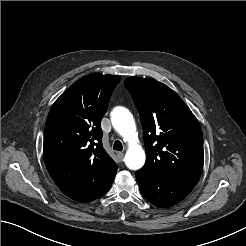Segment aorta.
I'll use <instances>...</instances> for the list:
<instances>
[{
	"label": "aorta",
	"mask_w": 246,
	"mask_h": 246,
	"mask_svg": "<svg viewBox=\"0 0 246 246\" xmlns=\"http://www.w3.org/2000/svg\"><path fill=\"white\" fill-rule=\"evenodd\" d=\"M114 129L129 143L124 162L130 170H138L145 163L143 148L135 142L136 124L133 115L124 107H116L111 112Z\"/></svg>",
	"instance_id": "1"
}]
</instances>
